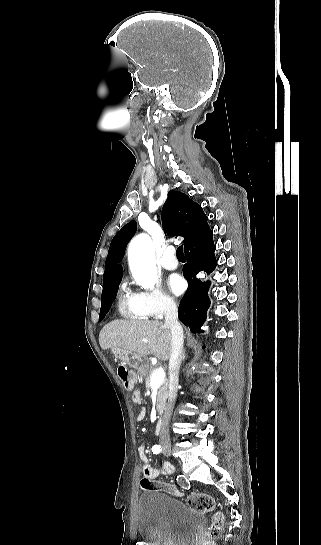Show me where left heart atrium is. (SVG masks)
<instances>
[{
	"mask_svg": "<svg viewBox=\"0 0 321 545\" xmlns=\"http://www.w3.org/2000/svg\"><path fill=\"white\" fill-rule=\"evenodd\" d=\"M167 288L173 294H180L185 289V281L177 274H171L167 278Z\"/></svg>",
	"mask_w": 321,
	"mask_h": 545,
	"instance_id": "left-heart-atrium-1",
	"label": "left heart atrium"
}]
</instances>
